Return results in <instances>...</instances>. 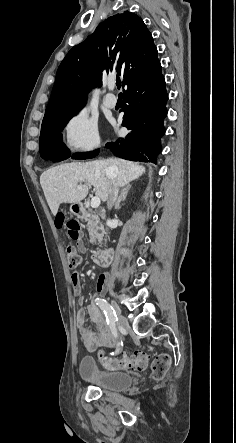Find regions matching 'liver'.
I'll return each instance as SVG.
<instances>
[{"mask_svg":"<svg viewBox=\"0 0 236 443\" xmlns=\"http://www.w3.org/2000/svg\"><path fill=\"white\" fill-rule=\"evenodd\" d=\"M113 167L118 186H126L139 178L145 168L138 163L119 158H108L90 162H73L48 169L40 176L48 206L55 216L61 203H79L89 191L88 183L94 186L95 194L106 201L113 188L114 179L107 174ZM81 185V188L78 186Z\"/></svg>","mask_w":236,"mask_h":443,"instance_id":"6515ba94","label":"liver"}]
</instances>
